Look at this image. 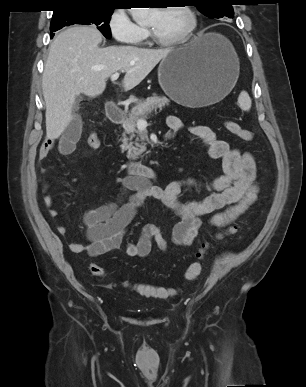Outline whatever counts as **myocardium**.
I'll list each match as a JSON object with an SVG mask.
<instances>
[{"mask_svg":"<svg viewBox=\"0 0 306 387\" xmlns=\"http://www.w3.org/2000/svg\"><path fill=\"white\" fill-rule=\"evenodd\" d=\"M169 7H179L180 9L185 11V13L189 17V25H188L187 29L185 30V32L180 37L175 38V39H171V40L160 39L153 32V30L148 27L149 37L152 40V42L155 43L156 45L163 46V47L177 46V45H181V44L188 42L191 39V37L193 36V34L196 31L197 26H198L197 13L190 5L184 4L181 6H165V7H162L160 9H165V8H169Z\"/></svg>","mask_w":306,"mask_h":387,"instance_id":"myocardium-1","label":"myocardium"}]
</instances>
